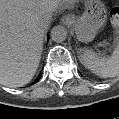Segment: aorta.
Returning a JSON list of instances; mask_svg holds the SVG:
<instances>
[{
	"label": "aorta",
	"instance_id": "762f6f07",
	"mask_svg": "<svg viewBox=\"0 0 119 119\" xmlns=\"http://www.w3.org/2000/svg\"><path fill=\"white\" fill-rule=\"evenodd\" d=\"M51 38L57 43L63 42L67 38V30L63 26L57 25L51 30Z\"/></svg>",
	"mask_w": 119,
	"mask_h": 119
}]
</instances>
